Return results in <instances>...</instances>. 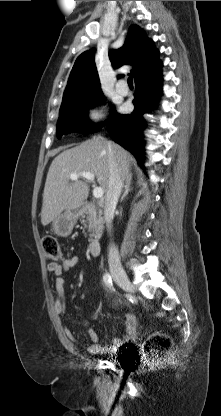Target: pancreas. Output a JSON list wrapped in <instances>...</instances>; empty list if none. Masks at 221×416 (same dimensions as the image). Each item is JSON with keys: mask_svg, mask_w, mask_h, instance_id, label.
<instances>
[{"mask_svg": "<svg viewBox=\"0 0 221 416\" xmlns=\"http://www.w3.org/2000/svg\"><path fill=\"white\" fill-rule=\"evenodd\" d=\"M81 218L84 227H88V231L92 232V234H90L91 238L94 237L95 234L97 237L102 234L104 220L101 209H98L95 206H87L82 210Z\"/></svg>", "mask_w": 221, "mask_h": 416, "instance_id": "1", "label": "pancreas"}]
</instances>
